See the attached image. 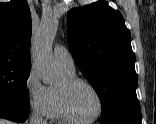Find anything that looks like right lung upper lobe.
<instances>
[{"mask_svg": "<svg viewBox=\"0 0 156 124\" xmlns=\"http://www.w3.org/2000/svg\"><path fill=\"white\" fill-rule=\"evenodd\" d=\"M31 14L26 0L0 3V63L30 65Z\"/></svg>", "mask_w": 156, "mask_h": 124, "instance_id": "cb5924a9", "label": "right lung upper lobe"}]
</instances>
